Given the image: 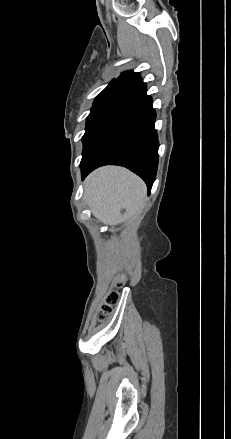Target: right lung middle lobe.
<instances>
[{"instance_id":"dd1d6c3e","label":"right lung middle lobe","mask_w":231,"mask_h":439,"mask_svg":"<svg viewBox=\"0 0 231 439\" xmlns=\"http://www.w3.org/2000/svg\"><path fill=\"white\" fill-rule=\"evenodd\" d=\"M141 114V108L135 97H117L95 101L87 117L86 131L82 137V158L109 132L138 118Z\"/></svg>"}]
</instances>
